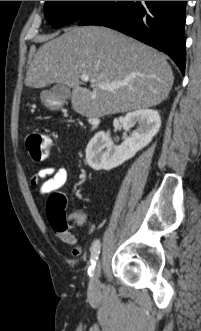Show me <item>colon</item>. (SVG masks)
<instances>
[{
    "instance_id": "obj_1",
    "label": "colon",
    "mask_w": 201,
    "mask_h": 331,
    "mask_svg": "<svg viewBox=\"0 0 201 331\" xmlns=\"http://www.w3.org/2000/svg\"><path fill=\"white\" fill-rule=\"evenodd\" d=\"M26 149L32 159L37 162L46 160L52 149L51 139L41 132H32L26 138ZM64 195L54 193L49 200V207L52 211L62 212V204L64 203ZM64 213V211H63ZM78 221H83L84 216L79 214L76 216Z\"/></svg>"
}]
</instances>
